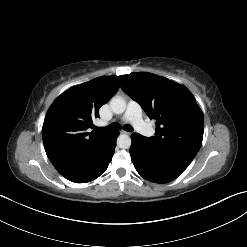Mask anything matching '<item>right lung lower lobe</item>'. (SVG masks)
I'll return each instance as SVG.
<instances>
[{
  "instance_id": "1",
  "label": "right lung lower lobe",
  "mask_w": 247,
  "mask_h": 247,
  "mask_svg": "<svg viewBox=\"0 0 247 247\" xmlns=\"http://www.w3.org/2000/svg\"><path fill=\"white\" fill-rule=\"evenodd\" d=\"M119 132L110 136L83 162L59 169L58 172L66 179L75 183H86L98 178L107 169L116 147Z\"/></svg>"
}]
</instances>
